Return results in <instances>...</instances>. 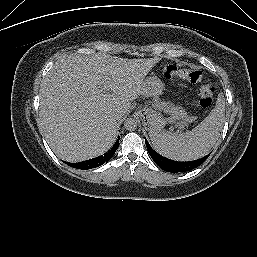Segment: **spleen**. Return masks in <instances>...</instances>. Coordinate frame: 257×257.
I'll list each match as a JSON object with an SVG mask.
<instances>
[{"mask_svg": "<svg viewBox=\"0 0 257 257\" xmlns=\"http://www.w3.org/2000/svg\"><path fill=\"white\" fill-rule=\"evenodd\" d=\"M225 101L220 94L215 108L198 126L184 133L151 130L155 150L171 160L192 161L204 157L217 142L224 124Z\"/></svg>", "mask_w": 257, "mask_h": 257, "instance_id": "obj_1", "label": "spleen"}]
</instances>
